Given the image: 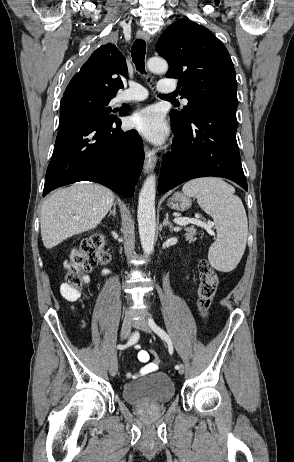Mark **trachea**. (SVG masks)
<instances>
[{"mask_svg":"<svg viewBox=\"0 0 294 462\" xmlns=\"http://www.w3.org/2000/svg\"><path fill=\"white\" fill-rule=\"evenodd\" d=\"M145 51H146V43L142 39H137L131 49V54H132V59L133 63L136 66V69L140 73H145V65H144V59H145ZM161 97L168 98V99H173L170 95H160ZM176 101L175 99H173Z\"/></svg>","mask_w":294,"mask_h":462,"instance_id":"3493384b","label":"trachea"}]
</instances>
